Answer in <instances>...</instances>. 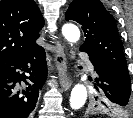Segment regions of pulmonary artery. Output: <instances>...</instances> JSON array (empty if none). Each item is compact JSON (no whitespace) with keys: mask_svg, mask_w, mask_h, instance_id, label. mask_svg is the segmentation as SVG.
<instances>
[{"mask_svg":"<svg viewBox=\"0 0 133 118\" xmlns=\"http://www.w3.org/2000/svg\"><path fill=\"white\" fill-rule=\"evenodd\" d=\"M81 56L87 60L90 69L93 70L94 67H93L92 63L89 61L88 57L85 54H81Z\"/></svg>","mask_w":133,"mask_h":118,"instance_id":"pulmonary-artery-1","label":"pulmonary artery"}]
</instances>
